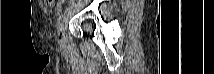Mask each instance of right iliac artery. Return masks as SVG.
Returning a JSON list of instances; mask_svg holds the SVG:
<instances>
[{
    "label": "right iliac artery",
    "mask_w": 214,
    "mask_h": 74,
    "mask_svg": "<svg viewBox=\"0 0 214 74\" xmlns=\"http://www.w3.org/2000/svg\"><path fill=\"white\" fill-rule=\"evenodd\" d=\"M64 16L60 15V17L57 20V28H58V34L60 35L61 27L63 25Z\"/></svg>",
    "instance_id": "right-iliac-artery-1"
}]
</instances>
